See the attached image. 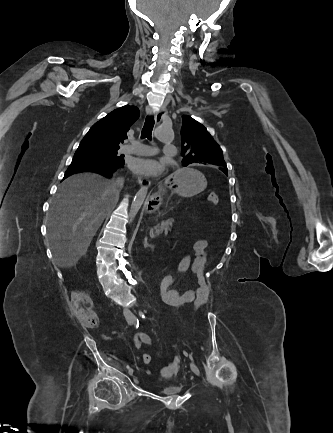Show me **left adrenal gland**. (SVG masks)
Returning a JSON list of instances; mask_svg holds the SVG:
<instances>
[{"instance_id": "obj_1", "label": "left adrenal gland", "mask_w": 333, "mask_h": 433, "mask_svg": "<svg viewBox=\"0 0 333 433\" xmlns=\"http://www.w3.org/2000/svg\"><path fill=\"white\" fill-rule=\"evenodd\" d=\"M154 246L152 244H149L147 242V236L144 238V248H153Z\"/></svg>"}]
</instances>
